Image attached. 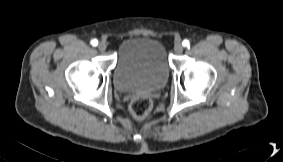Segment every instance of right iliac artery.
<instances>
[{
	"label": "right iliac artery",
	"mask_w": 283,
	"mask_h": 162,
	"mask_svg": "<svg viewBox=\"0 0 283 162\" xmlns=\"http://www.w3.org/2000/svg\"><path fill=\"white\" fill-rule=\"evenodd\" d=\"M91 45H92V46H97V45H98V41H97L96 39H93V40L91 41Z\"/></svg>",
	"instance_id": "right-iliac-artery-1"
}]
</instances>
